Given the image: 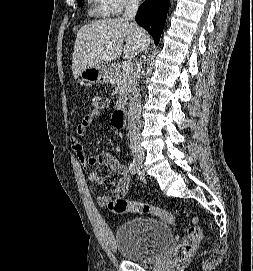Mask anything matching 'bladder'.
Segmentation results:
<instances>
[{
  "label": "bladder",
  "instance_id": "obj_1",
  "mask_svg": "<svg viewBox=\"0 0 253 271\" xmlns=\"http://www.w3.org/2000/svg\"><path fill=\"white\" fill-rule=\"evenodd\" d=\"M172 240L168 224L152 218H133L115 232L120 256L129 261L144 263L160 257Z\"/></svg>",
  "mask_w": 253,
  "mask_h": 271
}]
</instances>
